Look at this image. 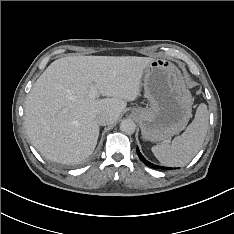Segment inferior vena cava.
<instances>
[{"label": "inferior vena cava", "mask_w": 234, "mask_h": 234, "mask_svg": "<svg viewBox=\"0 0 234 234\" xmlns=\"http://www.w3.org/2000/svg\"><path fill=\"white\" fill-rule=\"evenodd\" d=\"M96 121L99 125L105 126L110 123V117L107 113H101L97 116Z\"/></svg>", "instance_id": "1"}]
</instances>
